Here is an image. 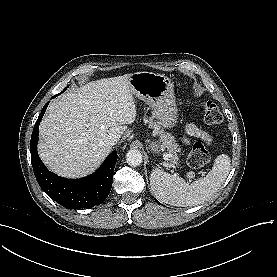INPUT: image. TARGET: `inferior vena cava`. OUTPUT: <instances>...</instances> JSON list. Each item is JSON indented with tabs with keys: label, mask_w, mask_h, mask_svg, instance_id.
<instances>
[{
	"label": "inferior vena cava",
	"mask_w": 277,
	"mask_h": 277,
	"mask_svg": "<svg viewBox=\"0 0 277 277\" xmlns=\"http://www.w3.org/2000/svg\"><path fill=\"white\" fill-rule=\"evenodd\" d=\"M118 141L119 137H117L116 135H109L105 140V144L112 147L117 144Z\"/></svg>",
	"instance_id": "inferior-vena-cava-1"
}]
</instances>
